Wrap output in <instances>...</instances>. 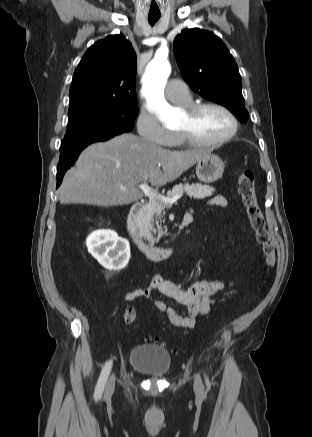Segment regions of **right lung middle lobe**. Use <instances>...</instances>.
Masks as SVG:
<instances>
[{
    "instance_id": "1",
    "label": "right lung middle lobe",
    "mask_w": 312,
    "mask_h": 437,
    "mask_svg": "<svg viewBox=\"0 0 312 437\" xmlns=\"http://www.w3.org/2000/svg\"><path fill=\"white\" fill-rule=\"evenodd\" d=\"M137 111V103L90 102L69 107L68 130L60 153L130 131Z\"/></svg>"
}]
</instances>
